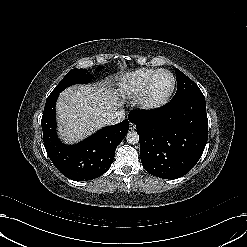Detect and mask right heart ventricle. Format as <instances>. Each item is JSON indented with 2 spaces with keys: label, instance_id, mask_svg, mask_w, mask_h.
Segmentation results:
<instances>
[{
  "label": "right heart ventricle",
  "instance_id": "1",
  "mask_svg": "<svg viewBox=\"0 0 247 247\" xmlns=\"http://www.w3.org/2000/svg\"><path fill=\"white\" fill-rule=\"evenodd\" d=\"M157 70L154 68H140L124 74L118 82L120 95L127 99L137 98Z\"/></svg>",
  "mask_w": 247,
  "mask_h": 247
}]
</instances>
